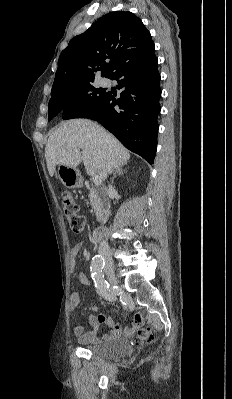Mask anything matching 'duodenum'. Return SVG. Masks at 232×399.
Wrapping results in <instances>:
<instances>
[{
    "instance_id": "1",
    "label": "duodenum",
    "mask_w": 232,
    "mask_h": 399,
    "mask_svg": "<svg viewBox=\"0 0 232 399\" xmlns=\"http://www.w3.org/2000/svg\"><path fill=\"white\" fill-rule=\"evenodd\" d=\"M106 234V227H98L92 233V242L99 243Z\"/></svg>"
}]
</instances>
